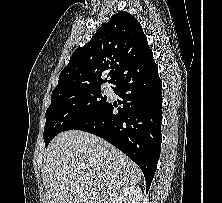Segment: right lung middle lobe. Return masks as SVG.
<instances>
[{
    "label": "right lung middle lobe",
    "instance_id": "right-lung-middle-lobe-1",
    "mask_svg": "<svg viewBox=\"0 0 222 203\" xmlns=\"http://www.w3.org/2000/svg\"><path fill=\"white\" fill-rule=\"evenodd\" d=\"M106 101L101 85H84L52 92L43 134L45 146L60 132L90 115Z\"/></svg>",
    "mask_w": 222,
    "mask_h": 203
}]
</instances>
